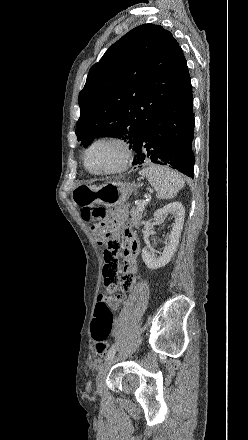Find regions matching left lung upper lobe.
I'll return each instance as SVG.
<instances>
[{
    "label": "left lung upper lobe",
    "mask_w": 248,
    "mask_h": 440,
    "mask_svg": "<svg viewBox=\"0 0 248 440\" xmlns=\"http://www.w3.org/2000/svg\"><path fill=\"white\" fill-rule=\"evenodd\" d=\"M191 82L183 51L163 27L143 24L94 64L79 94L76 135L87 147L114 136L136 145L147 124Z\"/></svg>",
    "instance_id": "left-lung-upper-lobe-1"
}]
</instances>
